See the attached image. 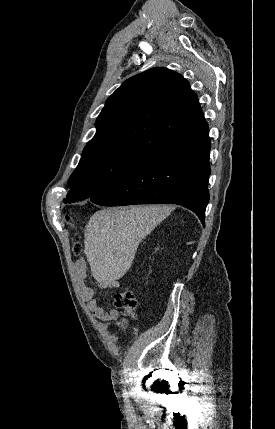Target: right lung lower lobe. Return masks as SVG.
Masks as SVG:
<instances>
[{
  "instance_id": "obj_1",
  "label": "right lung lower lobe",
  "mask_w": 275,
  "mask_h": 429,
  "mask_svg": "<svg viewBox=\"0 0 275 429\" xmlns=\"http://www.w3.org/2000/svg\"><path fill=\"white\" fill-rule=\"evenodd\" d=\"M208 128L173 141L131 174L90 200L103 206L174 203L193 211L204 224L209 201Z\"/></svg>"
}]
</instances>
